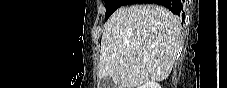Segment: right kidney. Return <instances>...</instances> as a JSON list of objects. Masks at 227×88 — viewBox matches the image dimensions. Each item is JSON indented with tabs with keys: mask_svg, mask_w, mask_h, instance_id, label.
<instances>
[{
	"mask_svg": "<svg viewBox=\"0 0 227 88\" xmlns=\"http://www.w3.org/2000/svg\"><path fill=\"white\" fill-rule=\"evenodd\" d=\"M140 88H161L160 84L154 81L144 83Z\"/></svg>",
	"mask_w": 227,
	"mask_h": 88,
	"instance_id": "obj_1",
	"label": "right kidney"
}]
</instances>
